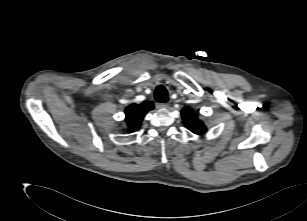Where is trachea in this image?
<instances>
[{"mask_svg": "<svg viewBox=\"0 0 307 221\" xmlns=\"http://www.w3.org/2000/svg\"><path fill=\"white\" fill-rule=\"evenodd\" d=\"M154 97L157 102L165 103L169 100L168 92L165 86L159 85L155 89Z\"/></svg>", "mask_w": 307, "mask_h": 221, "instance_id": "obj_1", "label": "trachea"}]
</instances>
